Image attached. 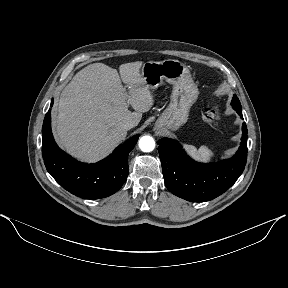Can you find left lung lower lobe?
<instances>
[{"label":"left lung lower lobe","mask_w":288,"mask_h":288,"mask_svg":"<svg viewBox=\"0 0 288 288\" xmlns=\"http://www.w3.org/2000/svg\"><path fill=\"white\" fill-rule=\"evenodd\" d=\"M243 119L242 110L234 108ZM237 153L219 163L203 164L190 159L176 140L163 138L157 144L167 189L191 202L212 200L227 191L242 174L247 160V126Z\"/></svg>","instance_id":"obj_1"}]
</instances>
